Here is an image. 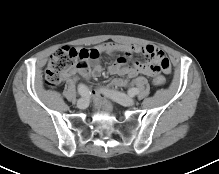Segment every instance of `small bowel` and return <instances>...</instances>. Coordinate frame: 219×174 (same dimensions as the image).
<instances>
[{
    "instance_id": "1",
    "label": "small bowel",
    "mask_w": 219,
    "mask_h": 174,
    "mask_svg": "<svg viewBox=\"0 0 219 174\" xmlns=\"http://www.w3.org/2000/svg\"><path fill=\"white\" fill-rule=\"evenodd\" d=\"M91 50H95L98 53V56L95 58H85L77 68V72L86 79L96 77L100 74L101 65L98 58L101 53H107L110 55H114L115 53L122 54V57L116 59L108 68L109 73L112 75L125 76V78L115 79L112 82V86L114 87L126 86L129 79H132L139 74L152 77L157 75L161 70L165 73H170L171 71L168 58L160 49L153 45L137 46L121 43H106ZM91 50L82 49L80 51L82 53L89 54ZM134 54H143L150 58L152 63H132L131 60ZM163 59H165L164 63H162ZM88 61H91V64H89ZM93 94L97 97H104V93L102 91L94 92Z\"/></svg>"
}]
</instances>
